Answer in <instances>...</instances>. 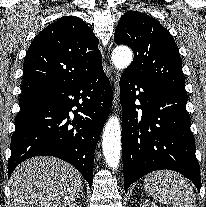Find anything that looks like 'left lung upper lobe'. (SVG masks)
<instances>
[{
  "instance_id": "obj_1",
  "label": "left lung upper lobe",
  "mask_w": 206,
  "mask_h": 207,
  "mask_svg": "<svg viewBox=\"0 0 206 207\" xmlns=\"http://www.w3.org/2000/svg\"><path fill=\"white\" fill-rule=\"evenodd\" d=\"M117 44L129 45L134 59L124 73L185 91L182 60L171 34L156 19L137 11L125 13L115 30Z\"/></svg>"
}]
</instances>
